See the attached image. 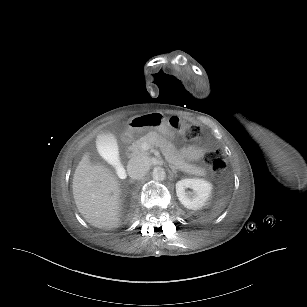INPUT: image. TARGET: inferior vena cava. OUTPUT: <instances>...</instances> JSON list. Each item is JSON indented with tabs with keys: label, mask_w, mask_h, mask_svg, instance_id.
<instances>
[{
	"label": "inferior vena cava",
	"mask_w": 307,
	"mask_h": 307,
	"mask_svg": "<svg viewBox=\"0 0 307 307\" xmlns=\"http://www.w3.org/2000/svg\"><path fill=\"white\" fill-rule=\"evenodd\" d=\"M127 172L131 179L140 180L147 174L148 168L143 161L138 158H133L128 162Z\"/></svg>",
	"instance_id": "obj_1"
}]
</instances>
